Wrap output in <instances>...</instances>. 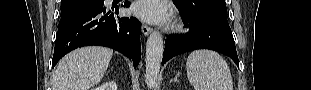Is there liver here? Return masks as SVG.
I'll return each mask as SVG.
<instances>
[{"label": "liver", "instance_id": "1", "mask_svg": "<svg viewBox=\"0 0 311 90\" xmlns=\"http://www.w3.org/2000/svg\"><path fill=\"white\" fill-rule=\"evenodd\" d=\"M113 50L90 46L63 57L52 77V90H89L107 71Z\"/></svg>", "mask_w": 311, "mask_h": 90}]
</instances>
